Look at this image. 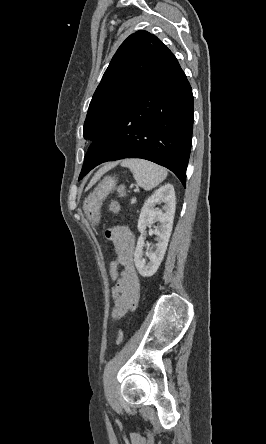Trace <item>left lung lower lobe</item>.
Returning a JSON list of instances; mask_svg holds the SVG:
<instances>
[{"label":"left lung lower lobe","mask_w":266,"mask_h":444,"mask_svg":"<svg viewBox=\"0 0 266 444\" xmlns=\"http://www.w3.org/2000/svg\"><path fill=\"white\" fill-rule=\"evenodd\" d=\"M193 112L192 89L178 66L106 125L93 141L79 179L103 162L142 158L174 172L185 187Z\"/></svg>","instance_id":"1"}]
</instances>
